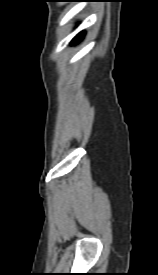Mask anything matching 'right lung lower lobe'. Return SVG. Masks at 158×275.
I'll return each mask as SVG.
<instances>
[{
  "label": "right lung lower lobe",
  "instance_id": "1",
  "mask_svg": "<svg viewBox=\"0 0 158 275\" xmlns=\"http://www.w3.org/2000/svg\"><path fill=\"white\" fill-rule=\"evenodd\" d=\"M84 37V32L79 33L72 41V43L79 42Z\"/></svg>",
  "mask_w": 158,
  "mask_h": 275
}]
</instances>
